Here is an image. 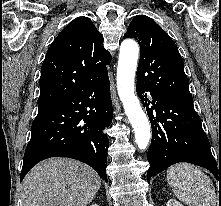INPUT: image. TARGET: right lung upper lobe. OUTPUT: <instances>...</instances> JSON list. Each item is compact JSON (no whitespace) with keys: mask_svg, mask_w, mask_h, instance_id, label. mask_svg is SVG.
<instances>
[{"mask_svg":"<svg viewBox=\"0 0 221 206\" xmlns=\"http://www.w3.org/2000/svg\"><path fill=\"white\" fill-rule=\"evenodd\" d=\"M111 55L88 17L68 24L49 47L41 67L38 107L75 95L108 74Z\"/></svg>","mask_w":221,"mask_h":206,"instance_id":"1","label":"right lung upper lobe"}]
</instances>
